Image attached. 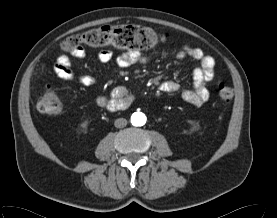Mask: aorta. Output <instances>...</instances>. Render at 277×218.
<instances>
[{"mask_svg": "<svg viewBox=\"0 0 277 218\" xmlns=\"http://www.w3.org/2000/svg\"><path fill=\"white\" fill-rule=\"evenodd\" d=\"M146 122V116L141 112H135L131 115V123L133 126H143Z\"/></svg>", "mask_w": 277, "mask_h": 218, "instance_id": "aorta-1", "label": "aorta"}]
</instances>
